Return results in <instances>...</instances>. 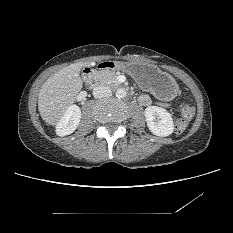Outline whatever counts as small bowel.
I'll return each instance as SVG.
<instances>
[{
  "mask_svg": "<svg viewBox=\"0 0 233 233\" xmlns=\"http://www.w3.org/2000/svg\"><path fill=\"white\" fill-rule=\"evenodd\" d=\"M138 101L141 105L143 106H148L152 103V99L150 98V96L142 94L138 97Z\"/></svg>",
  "mask_w": 233,
  "mask_h": 233,
  "instance_id": "c3829d8e",
  "label": "small bowel"
}]
</instances>
